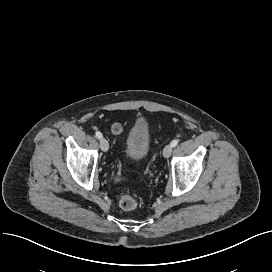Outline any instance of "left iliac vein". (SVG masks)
Wrapping results in <instances>:
<instances>
[{"label": "left iliac vein", "mask_w": 272, "mask_h": 272, "mask_svg": "<svg viewBox=\"0 0 272 272\" xmlns=\"http://www.w3.org/2000/svg\"><path fill=\"white\" fill-rule=\"evenodd\" d=\"M172 150L173 147L171 146V144L166 145L163 149V156L165 158H169L171 156Z\"/></svg>", "instance_id": "left-iliac-vein-1"}]
</instances>
